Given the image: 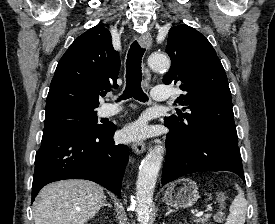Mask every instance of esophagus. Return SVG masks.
Masks as SVG:
<instances>
[{"mask_svg": "<svg viewBox=\"0 0 275 224\" xmlns=\"http://www.w3.org/2000/svg\"><path fill=\"white\" fill-rule=\"evenodd\" d=\"M139 44L142 47L149 49L152 45L151 35L148 32L142 33L139 36ZM144 72L146 73V70H144ZM132 149H133L134 153H136V154L143 153L146 149L145 142H143V141L134 142L132 145Z\"/></svg>", "mask_w": 275, "mask_h": 224, "instance_id": "34e87169", "label": "esophagus"}]
</instances>
